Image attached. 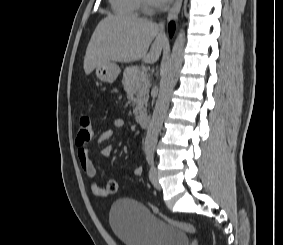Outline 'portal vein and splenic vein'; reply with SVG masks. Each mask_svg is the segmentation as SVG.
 Wrapping results in <instances>:
<instances>
[{
    "label": "portal vein and splenic vein",
    "instance_id": "1",
    "mask_svg": "<svg viewBox=\"0 0 283 245\" xmlns=\"http://www.w3.org/2000/svg\"><path fill=\"white\" fill-rule=\"evenodd\" d=\"M147 77V74L143 71L141 74H140V79L143 80Z\"/></svg>",
    "mask_w": 283,
    "mask_h": 245
}]
</instances>
